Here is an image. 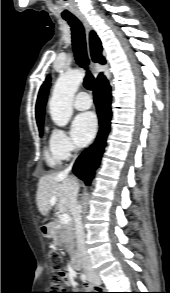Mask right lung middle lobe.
I'll return each instance as SVG.
<instances>
[{
	"instance_id": "right-lung-middle-lobe-1",
	"label": "right lung middle lobe",
	"mask_w": 170,
	"mask_h": 293,
	"mask_svg": "<svg viewBox=\"0 0 170 293\" xmlns=\"http://www.w3.org/2000/svg\"><path fill=\"white\" fill-rule=\"evenodd\" d=\"M38 127H39V131H40V135H42L43 126H38Z\"/></svg>"
}]
</instances>
